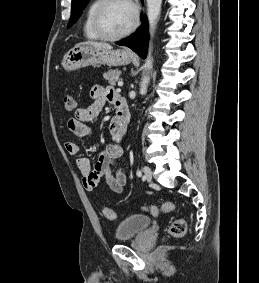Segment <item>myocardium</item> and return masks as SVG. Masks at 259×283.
Segmentation results:
<instances>
[{
  "label": "myocardium",
  "instance_id": "f54148a6",
  "mask_svg": "<svg viewBox=\"0 0 259 283\" xmlns=\"http://www.w3.org/2000/svg\"><path fill=\"white\" fill-rule=\"evenodd\" d=\"M112 1L114 0H101L98 6L96 7L94 11V15H93V29L95 33L100 39L107 40V41H115V40H119V39H122L128 36L137 28L139 24V13H138L137 6L131 0H126L128 3L131 4L133 8V21L131 25L125 31L119 34H116V35L106 34L101 27V14L104 8Z\"/></svg>",
  "mask_w": 259,
  "mask_h": 283
}]
</instances>
